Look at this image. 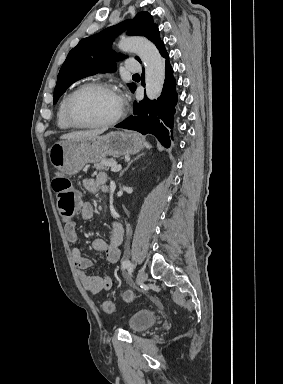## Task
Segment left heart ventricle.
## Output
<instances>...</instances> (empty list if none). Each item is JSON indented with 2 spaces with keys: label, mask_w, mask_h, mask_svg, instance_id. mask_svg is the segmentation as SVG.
<instances>
[{
  "label": "left heart ventricle",
  "mask_w": 283,
  "mask_h": 384,
  "mask_svg": "<svg viewBox=\"0 0 283 384\" xmlns=\"http://www.w3.org/2000/svg\"><path fill=\"white\" fill-rule=\"evenodd\" d=\"M119 108L116 95L105 90H89L81 93L73 102L71 114L80 125L106 122L112 119Z\"/></svg>",
  "instance_id": "b2bd125f"
}]
</instances>
